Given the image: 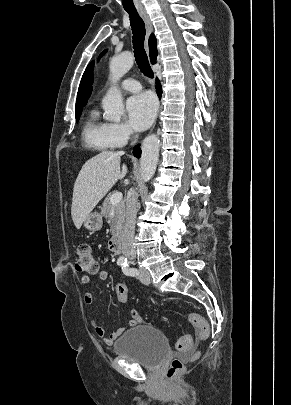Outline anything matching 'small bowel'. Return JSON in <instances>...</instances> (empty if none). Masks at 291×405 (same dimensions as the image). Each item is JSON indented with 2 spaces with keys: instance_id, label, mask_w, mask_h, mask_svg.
Instances as JSON below:
<instances>
[{
  "instance_id": "1",
  "label": "small bowel",
  "mask_w": 291,
  "mask_h": 405,
  "mask_svg": "<svg viewBox=\"0 0 291 405\" xmlns=\"http://www.w3.org/2000/svg\"><path fill=\"white\" fill-rule=\"evenodd\" d=\"M97 277L102 281H106L108 278V272L105 270H100L97 272ZM80 282L82 285L86 286L90 282V277L84 275L81 277ZM84 302L89 307H91V308L94 307L95 300H94V296L91 292H86L84 294ZM131 316H132V319L128 322L129 326L133 327V326L143 323L142 316L139 315L135 310H131ZM90 320H91L92 326L94 327L95 333L99 337L103 338L105 343L108 345L113 344L116 341V339L119 338L125 331V328L121 327V328H118L115 331H113L111 334L107 335L105 328L100 325L99 317L96 314H92Z\"/></svg>"
}]
</instances>
